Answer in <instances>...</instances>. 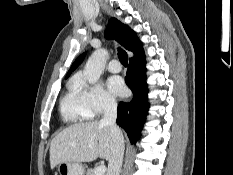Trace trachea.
<instances>
[{
    "mask_svg": "<svg viewBox=\"0 0 233 175\" xmlns=\"http://www.w3.org/2000/svg\"><path fill=\"white\" fill-rule=\"evenodd\" d=\"M118 58L123 66L128 65L127 53L123 49H118Z\"/></svg>",
    "mask_w": 233,
    "mask_h": 175,
    "instance_id": "1",
    "label": "trachea"
}]
</instances>
